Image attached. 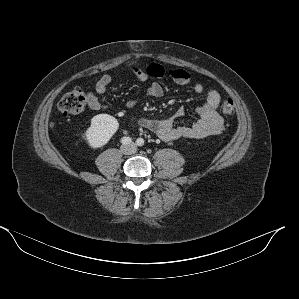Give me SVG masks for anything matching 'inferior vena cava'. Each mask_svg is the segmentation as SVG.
I'll use <instances>...</instances> for the list:
<instances>
[{"mask_svg":"<svg viewBox=\"0 0 299 299\" xmlns=\"http://www.w3.org/2000/svg\"><path fill=\"white\" fill-rule=\"evenodd\" d=\"M127 148H128V146H124L123 147V152L125 154H131V153H134L136 151V147L135 146H131V151H127Z\"/></svg>","mask_w":299,"mask_h":299,"instance_id":"obj_1","label":"inferior vena cava"}]
</instances>
